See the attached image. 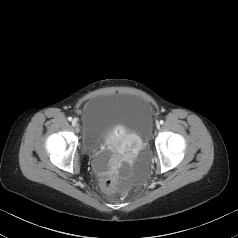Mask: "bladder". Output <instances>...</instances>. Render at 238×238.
I'll use <instances>...</instances> for the list:
<instances>
[{"mask_svg": "<svg viewBox=\"0 0 238 238\" xmlns=\"http://www.w3.org/2000/svg\"><path fill=\"white\" fill-rule=\"evenodd\" d=\"M153 106L144 97L129 93H103L88 99L81 112L82 147L92 157L97 173L109 170L110 155L101 151L117 128L140 139L150 136Z\"/></svg>", "mask_w": 238, "mask_h": 238, "instance_id": "31cf9c89", "label": "bladder"}]
</instances>
